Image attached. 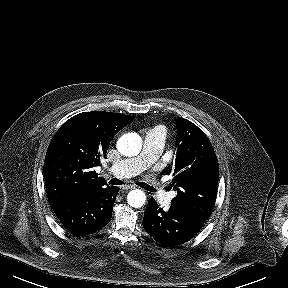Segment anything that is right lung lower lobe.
Returning <instances> with one entry per match:
<instances>
[{"label":"right lung lower lobe","mask_w":288,"mask_h":288,"mask_svg":"<svg viewBox=\"0 0 288 288\" xmlns=\"http://www.w3.org/2000/svg\"><path fill=\"white\" fill-rule=\"evenodd\" d=\"M119 188L105 186L51 204L60 222L74 235L86 236L106 226Z\"/></svg>","instance_id":"98d812e1"}]
</instances>
